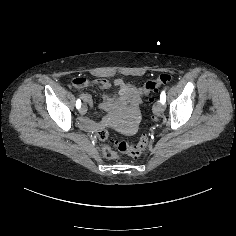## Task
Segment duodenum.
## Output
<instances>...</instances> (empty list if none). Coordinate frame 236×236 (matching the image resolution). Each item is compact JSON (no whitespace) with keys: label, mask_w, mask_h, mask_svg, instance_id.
Listing matches in <instances>:
<instances>
[{"label":"duodenum","mask_w":236,"mask_h":236,"mask_svg":"<svg viewBox=\"0 0 236 236\" xmlns=\"http://www.w3.org/2000/svg\"><path fill=\"white\" fill-rule=\"evenodd\" d=\"M121 87L117 100L106 99L104 102V107L107 110H115L120 107H125L127 101L132 99L133 90L130 87H127L124 83L118 84ZM82 125L85 129L93 130L101 126V124H97L91 120L83 119Z\"/></svg>","instance_id":"410a0bca"}]
</instances>
